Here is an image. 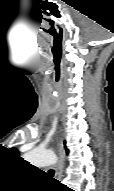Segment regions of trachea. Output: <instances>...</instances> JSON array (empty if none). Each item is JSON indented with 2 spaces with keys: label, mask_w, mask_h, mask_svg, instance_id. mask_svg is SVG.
<instances>
[{
  "label": "trachea",
  "mask_w": 114,
  "mask_h": 191,
  "mask_svg": "<svg viewBox=\"0 0 114 191\" xmlns=\"http://www.w3.org/2000/svg\"><path fill=\"white\" fill-rule=\"evenodd\" d=\"M49 174L53 175L54 174V170H49Z\"/></svg>",
  "instance_id": "trachea-1"
}]
</instances>
